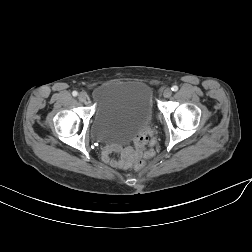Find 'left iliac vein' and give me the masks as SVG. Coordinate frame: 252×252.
Segmentation results:
<instances>
[{
    "label": "left iliac vein",
    "mask_w": 252,
    "mask_h": 252,
    "mask_svg": "<svg viewBox=\"0 0 252 252\" xmlns=\"http://www.w3.org/2000/svg\"><path fill=\"white\" fill-rule=\"evenodd\" d=\"M171 95H172V90H171L170 88L164 89V91H163V96H164L165 98H169Z\"/></svg>",
    "instance_id": "obj_1"
}]
</instances>
